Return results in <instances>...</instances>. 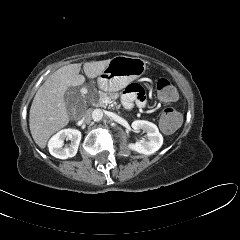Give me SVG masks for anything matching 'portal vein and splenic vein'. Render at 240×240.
I'll return each mask as SVG.
<instances>
[{"instance_id":"18ae733b","label":"portal vein and splenic vein","mask_w":240,"mask_h":240,"mask_svg":"<svg viewBox=\"0 0 240 240\" xmlns=\"http://www.w3.org/2000/svg\"><path fill=\"white\" fill-rule=\"evenodd\" d=\"M104 102H105V103H109V102H110L109 98H106V99L104 100Z\"/></svg>"}]
</instances>
